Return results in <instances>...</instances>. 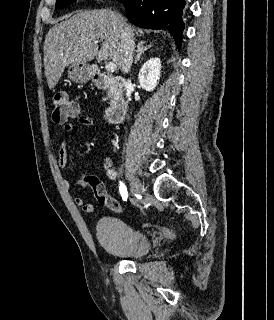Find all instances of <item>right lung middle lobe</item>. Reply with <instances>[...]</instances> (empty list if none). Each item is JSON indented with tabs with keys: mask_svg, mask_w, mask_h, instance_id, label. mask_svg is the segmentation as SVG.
Listing matches in <instances>:
<instances>
[{
	"mask_svg": "<svg viewBox=\"0 0 274 320\" xmlns=\"http://www.w3.org/2000/svg\"><path fill=\"white\" fill-rule=\"evenodd\" d=\"M75 1L76 0H56V9H62Z\"/></svg>",
	"mask_w": 274,
	"mask_h": 320,
	"instance_id": "dd1d6c3e",
	"label": "right lung middle lobe"
}]
</instances>
